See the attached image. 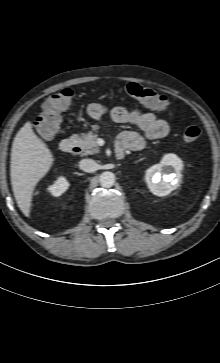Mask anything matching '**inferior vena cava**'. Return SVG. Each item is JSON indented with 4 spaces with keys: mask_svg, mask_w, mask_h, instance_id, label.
<instances>
[{
    "mask_svg": "<svg viewBox=\"0 0 220 363\" xmlns=\"http://www.w3.org/2000/svg\"><path fill=\"white\" fill-rule=\"evenodd\" d=\"M79 167L85 172L92 173L98 169V164L92 159H82Z\"/></svg>",
    "mask_w": 220,
    "mask_h": 363,
    "instance_id": "602c4592",
    "label": "inferior vena cava"
}]
</instances>
